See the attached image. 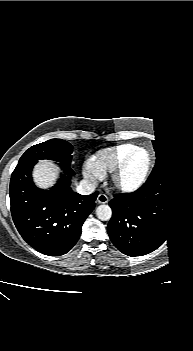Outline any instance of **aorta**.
Here are the masks:
<instances>
[{
  "mask_svg": "<svg viewBox=\"0 0 193 351\" xmlns=\"http://www.w3.org/2000/svg\"><path fill=\"white\" fill-rule=\"evenodd\" d=\"M96 214L100 220L105 221V220L110 219L112 211L108 205L103 204V205L98 206V208L96 209Z\"/></svg>",
  "mask_w": 193,
  "mask_h": 351,
  "instance_id": "762f6f07",
  "label": "aorta"
}]
</instances>
